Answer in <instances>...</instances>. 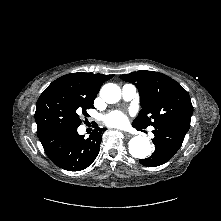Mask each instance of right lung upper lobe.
<instances>
[{
    "mask_svg": "<svg viewBox=\"0 0 221 221\" xmlns=\"http://www.w3.org/2000/svg\"><path fill=\"white\" fill-rule=\"evenodd\" d=\"M113 76L82 72L71 73L56 79L50 85L66 86L93 103L102 84Z\"/></svg>",
    "mask_w": 221,
    "mask_h": 221,
    "instance_id": "cb5924a9",
    "label": "right lung upper lobe"
}]
</instances>
